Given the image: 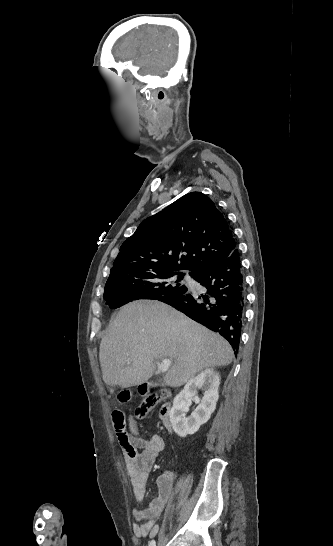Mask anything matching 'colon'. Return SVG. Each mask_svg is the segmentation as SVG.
<instances>
[{
  "mask_svg": "<svg viewBox=\"0 0 333 546\" xmlns=\"http://www.w3.org/2000/svg\"><path fill=\"white\" fill-rule=\"evenodd\" d=\"M167 392L157 391L147 397L135 410V415L138 419H143L148 411L159 401L167 397ZM129 399V395L124 393L120 395V400L126 402ZM112 423L114 430L118 439V442L124 452L129 456L133 457L137 453V449L133 444L130 434L127 430L125 416L122 411L114 410L112 412Z\"/></svg>",
  "mask_w": 333,
  "mask_h": 546,
  "instance_id": "obj_1",
  "label": "colon"
}]
</instances>
